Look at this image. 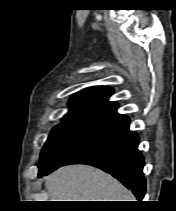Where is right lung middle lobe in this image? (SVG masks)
I'll return each instance as SVG.
<instances>
[{
    "mask_svg": "<svg viewBox=\"0 0 176 211\" xmlns=\"http://www.w3.org/2000/svg\"><path fill=\"white\" fill-rule=\"evenodd\" d=\"M97 124L63 118L62 123L53 128L40 155L39 169L48 166L66 148L79 140Z\"/></svg>",
    "mask_w": 176,
    "mask_h": 211,
    "instance_id": "obj_1",
    "label": "right lung middle lobe"
}]
</instances>
